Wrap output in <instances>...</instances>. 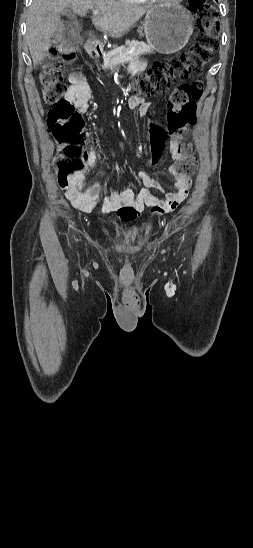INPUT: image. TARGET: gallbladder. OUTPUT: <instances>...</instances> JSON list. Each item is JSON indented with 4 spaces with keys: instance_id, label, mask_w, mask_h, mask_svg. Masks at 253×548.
Instances as JSON below:
<instances>
[{
    "instance_id": "gallbladder-1",
    "label": "gallbladder",
    "mask_w": 253,
    "mask_h": 548,
    "mask_svg": "<svg viewBox=\"0 0 253 548\" xmlns=\"http://www.w3.org/2000/svg\"><path fill=\"white\" fill-rule=\"evenodd\" d=\"M69 12L68 11H64L62 12V15H67Z\"/></svg>"
}]
</instances>
